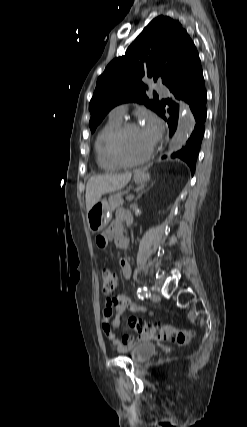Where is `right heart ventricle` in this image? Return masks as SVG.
<instances>
[{
  "mask_svg": "<svg viewBox=\"0 0 247 427\" xmlns=\"http://www.w3.org/2000/svg\"><path fill=\"white\" fill-rule=\"evenodd\" d=\"M122 123V119L110 116L96 136L94 142L96 163L104 171H115L123 167L113 158L110 151L111 139Z\"/></svg>",
  "mask_w": 247,
  "mask_h": 427,
  "instance_id": "obj_1",
  "label": "right heart ventricle"
}]
</instances>
